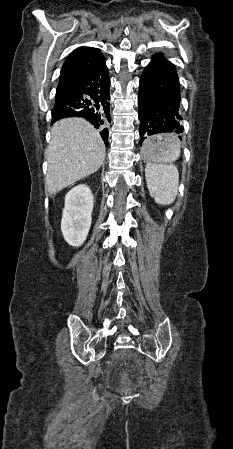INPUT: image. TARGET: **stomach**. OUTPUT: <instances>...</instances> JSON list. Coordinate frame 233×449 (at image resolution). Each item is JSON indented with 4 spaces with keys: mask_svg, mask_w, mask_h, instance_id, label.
I'll list each match as a JSON object with an SVG mask.
<instances>
[{
    "mask_svg": "<svg viewBox=\"0 0 233 449\" xmlns=\"http://www.w3.org/2000/svg\"><path fill=\"white\" fill-rule=\"evenodd\" d=\"M169 151H173V142L169 133H154L147 145L142 148V155L148 162L169 161Z\"/></svg>",
    "mask_w": 233,
    "mask_h": 449,
    "instance_id": "obj_1",
    "label": "stomach"
}]
</instances>
